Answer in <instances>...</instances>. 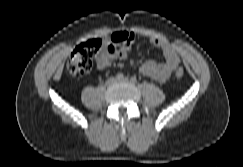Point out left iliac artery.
<instances>
[{
	"label": "left iliac artery",
	"mask_w": 243,
	"mask_h": 167,
	"mask_svg": "<svg viewBox=\"0 0 243 167\" xmlns=\"http://www.w3.org/2000/svg\"><path fill=\"white\" fill-rule=\"evenodd\" d=\"M131 82H132V83H136V82H137L136 77H132V78H131Z\"/></svg>",
	"instance_id": "44dca946"
}]
</instances>
